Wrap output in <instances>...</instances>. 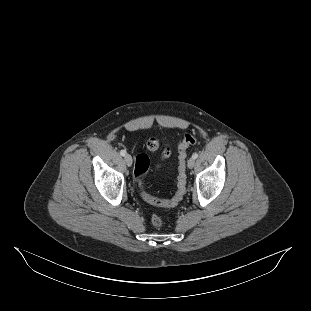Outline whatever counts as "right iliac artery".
<instances>
[{
    "label": "right iliac artery",
    "mask_w": 311,
    "mask_h": 311,
    "mask_svg": "<svg viewBox=\"0 0 311 311\" xmlns=\"http://www.w3.org/2000/svg\"><path fill=\"white\" fill-rule=\"evenodd\" d=\"M120 155H121V156H125V155H126V152H125L124 150H121V151H120Z\"/></svg>",
    "instance_id": "obj_1"
}]
</instances>
